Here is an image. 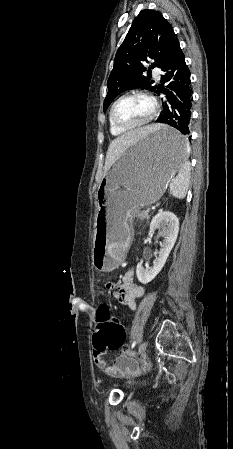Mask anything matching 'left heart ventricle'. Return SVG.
I'll return each mask as SVG.
<instances>
[{
    "label": "left heart ventricle",
    "mask_w": 233,
    "mask_h": 449,
    "mask_svg": "<svg viewBox=\"0 0 233 449\" xmlns=\"http://www.w3.org/2000/svg\"><path fill=\"white\" fill-rule=\"evenodd\" d=\"M151 103L142 96L122 99L114 109L115 120L122 125H132L145 120L151 112Z\"/></svg>",
    "instance_id": "1"
}]
</instances>
